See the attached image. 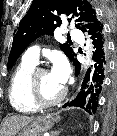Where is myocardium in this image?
Masks as SVG:
<instances>
[{"instance_id": "obj_1", "label": "myocardium", "mask_w": 117, "mask_h": 136, "mask_svg": "<svg viewBox=\"0 0 117 136\" xmlns=\"http://www.w3.org/2000/svg\"><path fill=\"white\" fill-rule=\"evenodd\" d=\"M48 72V70L44 67H37L32 72L30 79H29V97L32 101V103L38 107V108H47L51 106H55L59 104L66 96L67 89L64 87L62 92L59 94L58 97L55 99L45 101L41 98L40 91H39V85H38V79L41 74Z\"/></svg>"}]
</instances>
